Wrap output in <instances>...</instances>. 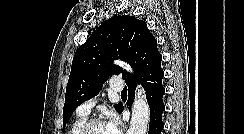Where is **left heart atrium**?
<instances>
[{"mask_svg":"<svg viewBox=\"0 0 244 134\" xmlns=\"http://www.w3.org/2000/svg\"><path fill=\"white\" fill-rule=\"evenodd\" d=\"M119 120L116 117H112L106 124L109 134H120Z\"/></svg>","mask_w":244,"mask_h":134,"instance_id":"left-heart-atrium-1","label":"left heart atrium"}]
</instances>
